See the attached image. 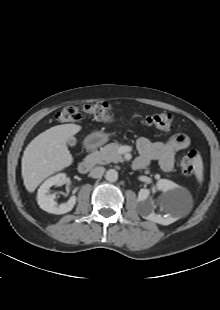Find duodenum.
<instances>
[{
  "instance_id": "410a0bca",
  "label": "duodenum",
  "mask_w": 220,
  "mask_h": 310,
  "mask_svg": "<svg viewBox=\"0 0 220 310\" xmlns=\"http://www.w3.org/2000/svg\"><path fill=\"white\" fill-rule=\"evenodd\" d=\"M88 147L89 149H93L94 145L88 144ZM94 163L95 160L93 158H87L80 162L78 169L81 173L86 174L92 169Z\"/></svg>"
}]
</instances>
